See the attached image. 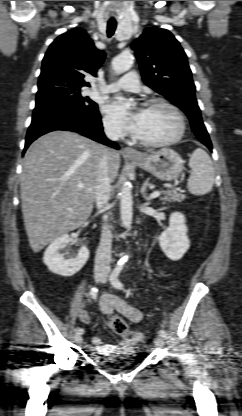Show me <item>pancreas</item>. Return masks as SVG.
Segmentation results:
<instances>
[{"label":"pancreas","mask_w":242,"mask_h":416,"mask_svg":"<svg viewBox=\"0 0 242 416\" xmlns=\"http://www.w3.org/2000/svg\"><path fill=\"white\" fill-rule=\"evenodd\" d=\"M186 198L185 195L173 192V191H167L165 192V197L162 198V200L168 201V202H182Z\"/></svg>","instance_id":"obj_1"}]
</instances>
